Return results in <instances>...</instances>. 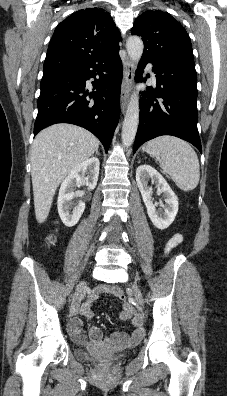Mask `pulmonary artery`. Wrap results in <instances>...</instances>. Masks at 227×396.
<instances>
[{"label":"pulmonary artery","instance_id":"e3ab8cb5","mask_svg":"<svg viewBox=\"0 0 227 396\" xmlns=\"http://www.w3.org/2000/svg\"><path fill=\"white\" fill-rule=\"evenodd\" d=\"M149 68L151 69V68H152V66H151V65H149Z\"/></svg>","mask_w":227,"mask_h":396}]
</instances>
